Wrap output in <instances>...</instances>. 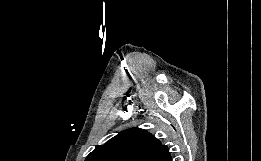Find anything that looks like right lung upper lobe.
<instances>
[{"label":"right lung upper lobe","mask_w":261,"mask_h":161,"mask_svg":"<svg viewBox=\"0 0 261 161\" xmlns=\"http://www.w3.org/2000/svg\"><path fill=\"white\" fill-rule=\"evenodd\" d=\"M166 145L140 128L125 130L104 145H98L85 161H168Z\"/></svg>","instance_id":"1"}]
</instances>
